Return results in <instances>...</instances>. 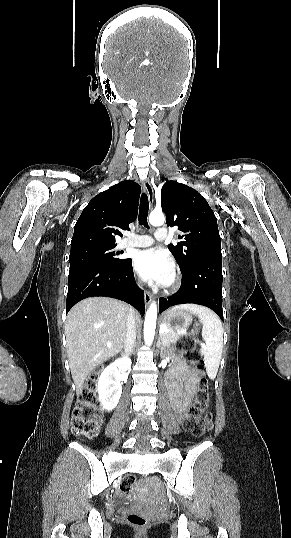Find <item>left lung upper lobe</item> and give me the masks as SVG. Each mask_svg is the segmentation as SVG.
I'll use <instances>...</instances> for the list:
<instances>
[{
    "label": "left lung upper lobe",
    "instance_id": "5c2ea615",
    "mask_svg": "<svg viewBox=\"0 0 291 538\" xmlns=\"http://www.w3.org/2000/svg\"><path fill=\"white\" fill-rule=\"evenodd\" d=\"M165 180L161 206L166 223L182 232L177 245L170 244L168 249L181 271L195 261L222 258L217 219L205 198L187 185Z\"/></svg>",
    "mask_w": 291,
    "mask_h": 538
}]
</instances>
